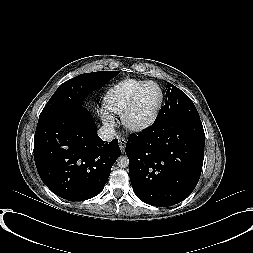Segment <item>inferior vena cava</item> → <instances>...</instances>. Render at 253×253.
Returning a JSON list of instances; mask_svg holds the SVG:
<instances>
[{"instance_id": "602c4592", "label": "inferior vena cava", "mask_w": 253, "mask_h": 253, "mask_svg": "<svg viewBox=\"0 0 253 253\" xmlns=\"http://www.w3.org/2000/svg\"><path fill=\"white\" fill-rule=\"evenodd\" d=\"M115 129L111 126H102L98 130V136L103 140V141H112L115 137Z\"/></svg>"}]
</instances>
